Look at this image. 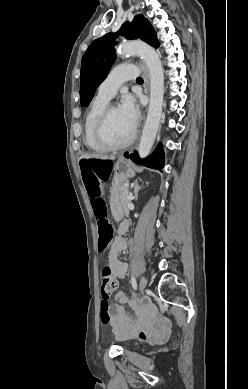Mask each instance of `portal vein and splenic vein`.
I'll return each instance as SVG.
<instances>
[{
    "label": "portal vein and splenic vein",
    "mask_w": 248,
    "mask_h": 389,
    "mask_svg": "<svg viewBox=\"0 0 248 389\" xmlns=\"http://www.w3.org/2000/svg\"><path fill=\"white\" fill-rule=\"evenodd\" d=\"M128 199H129V200H132V199H133L132 194L128 195Z\"/></svg>",
    "instance_id": "obj_1"
}]
</instances>
